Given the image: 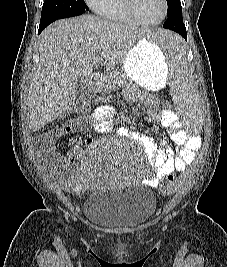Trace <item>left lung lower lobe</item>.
<instances>
[{
    "instance_id": "0a47b994",
    "label": "left lung lower lobe",
    "mask_w": 227,
    "mask_h": 267,
    "mask_svg": "<svg viewBox=\"0 0 227 267\" xmlns=\"http://www.w3.org/2000/svg\"><path fill=\"white\" fill-rule=\"evenodd\" d=\"M163 27L179 33L185 40H187V32L185 24L183 23L182 10L168 16Z\"/></svg>"
}]
</instances>
